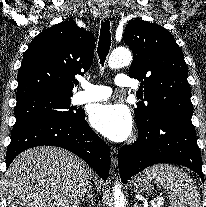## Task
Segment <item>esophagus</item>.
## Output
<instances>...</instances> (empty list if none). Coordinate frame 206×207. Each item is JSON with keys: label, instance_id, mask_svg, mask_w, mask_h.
Segmentation results:
<instances>
[{"label": "esophagus", "instance_id": "34e87169", "mask_svg": "<svg viewBox=\"0 0 206 207\" xmlns=\"http://www.w3.org/2000/svg\"><path fill=\"white\" fill-rule=\"evenodd\" d=\"M100 18L102 20H106L109 17V11L107 10H100L99 11ZM110 154H111V162L113 167L116 168L118 164V150L115 147H111L110 149Z\"/></svg>", "mask_w": 206, "mask_h": 207}]
</instances>
